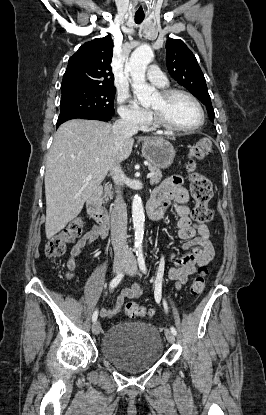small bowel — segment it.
Masks as SVG:
<instances>
[{"mask_svg": "<svg viewBox=\"0 0 266 415\" xmlns=\"http://www.w3.org/2000/svg\"><path fill=\"white\" fill-rule=\"evenodd\" d=\"M172 200L175 202L173 209L178 217L177 236L184 241L181 248L189 251L181 256L175 253L170 254L173 267L168 269L167 278L174 281L176 288L179 289L198 269L207 266L213 261L215 252L210 241V231L207 225L202 224L197 227L192 225L189 216L190 198L187 189L183 185L181 176L172 175L154 189L147 204L151 218L156 220L166 219L172 207ZM106 236L107 231L101 227L94 226L75 243L71 249L70 258L67 261L69 275L77 267V257L82 250L90 243L98 239H104ZM142 291L143 289L138 283H134L131 287L124 289L115 299L112 307L101 311V316H116L120 312L126 298H138L141 296Z\"/></svg>", "mask_w": 266, "mask_h": 415, "instance_id": "1", "label": "small bowel"}]
</instances>
